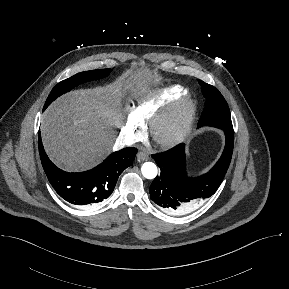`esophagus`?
<instances>
[{"instance_id": "34e87169", "label": "esophagus", "mask_w": 289, "mask_h": 289, "mask_svg": "<svg viewBox=\"0 0 289 289\" xmlns=\"http://www.w3.org/2000/svg\"><path fill=\"white\" fill-rule=\"evenodd\" d=\"M148 159H149V156H148L147 153H145V152H143V151H139V152L137 153V160H138L139 162L146 161V160H148Z\"/></svg>"}]
</instances>
